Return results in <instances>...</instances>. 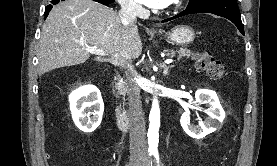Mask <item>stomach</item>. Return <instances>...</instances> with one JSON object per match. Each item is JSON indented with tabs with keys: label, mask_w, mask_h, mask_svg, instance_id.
I'll return each mask as SVG.
<instances>
[{
	"label": "stomach",
	"mask_w": 277,
	"mask_h": 166,
	"mask_svg": "<svg viewBox=\"0 0 277 166\" xmlns=\"http://www.w3.org/2000/svg\"><path fill=\"white\" fill-rule=\"evenodd\" d=\"M168 39L177 45H187L195 39V31L187 25H178L167 33Z\"/></svg>",
	"instance_id": "obj_1"
}]
</instances>
